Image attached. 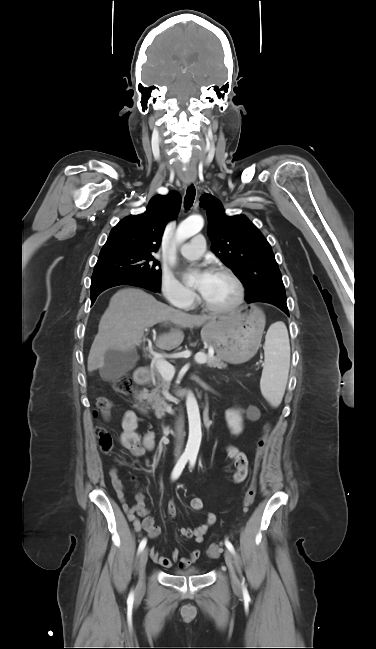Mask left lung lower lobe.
I'll return each mask as SVG.
<instances>
[{
    "label": "left lung lower lobe",
    "instance_id": "1",
    "mask_svg": "<svg viewBox=\"0 0 376 649\" xmlns=\"http://www.w3.org/2000/svg\"><path fill=\"white\" fill-rule=\"evenodd\" d=\"M267 303H270V304H273V305L277 306L278 308H280L283 312H285L289 316V311H288V308H287V304L280 303V302H277V301H271V300L268 301Z\"/></svg>",
    "mask_w": 376,
    "mask_h": 649
}]
</instances>
